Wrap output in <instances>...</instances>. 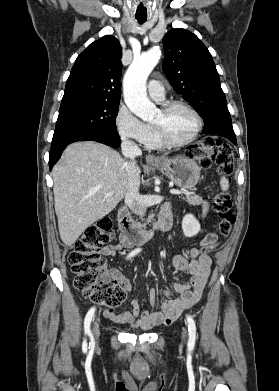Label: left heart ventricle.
Returning <instances> with one entry per match:
<instances>
[{
	"mask_svg": "<svg viewBox=\"0 0 279 391\" xmlns=\"http://www.w3.org/2000/svg\"><path fill=\"white\" fill-rule=\"evenodd\" d=\"M152 122L162 123L169 138L177 142L188 139L196 128L194 115L184 107H175L167 114L159 110Z\"/></svg>",
	"mask_w": 279,
	"mask_h": 391,
	"instance_id": "obj_1",
	"label": "left heart ventricle"
}]
</instances>
